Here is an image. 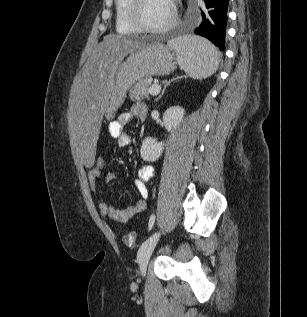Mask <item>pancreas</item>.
Here are the masks:
<instances>
[{
	"mask_svg": "<svg viewBox=\"0 0 307 317\" xmlns=\"http://www.w3.org/2000/svg\"><path fill=\"white\" fill-rule=\"evenodd\" d=\"M152 79L144 78L137 82L129 92V97L132 101H141L144 98H149V87L151 86Z\"/></svg>",
	"mask_w": 307,
	"mask_h": 317,
	"instance_id": "obj_1",
	"label": "pancreas"
}]
</instances>
